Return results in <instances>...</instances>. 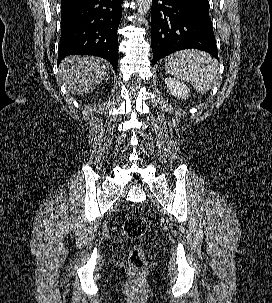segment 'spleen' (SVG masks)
<instances>
[{
  "mask_svg": "<svg viewBox=\"0 0 272 303\" xmlns=\"http://www.w3.org/2000/svg\"><path fill=\"white\" fill-rule=\"evenodd\" d=\"M165 70L189 82L201 94L209 92L218 81V62L199 50H183L170 55L165 61Z\"/></svg>",
  "mask_w": 272,
  "mask_h": 303,
  "instance_id": "obj_1",
  "label": "spleen"
}]
</instances>
